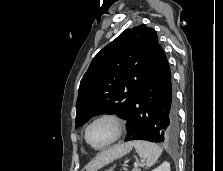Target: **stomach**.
<instances>
[{"instance_id": "obj_1", "label": "stomach", "mask_w": 223, "mask_h": 171, "mask_svg": "<svg viewBox=\"0 0 223 171\" xmlns=\"http://www.w3.org/2000/svg\"><path fill=\"white\" fill-rule=\"evenodd\" d=\"M106 171H113V169H109V170H106Z\"/></svg>"}]
</instances>
